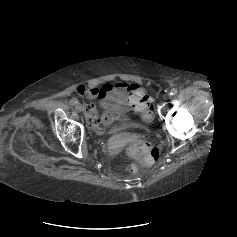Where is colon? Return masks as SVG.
Returning a JSON list of instances; mask_svg holds the SVG:
<instances>
[{
    "label": "colon",
    "mask_w": 237,
    "mask_h": 237,
    "mask_svg": "<svg viewBox=\"0 0 237 237\" xmlns=\"http://www.w3.org/2000/svg\"><path fill=\"white\" fill-rule=\"evenodd\" d=\"M152 118L151 108L148 107V112L144 116L146 121H150ZM128 155L135 160L137 164L151 165L157 161L159 157L158 149L145 140L134 139L130 141L127 148ZM132 171L136 169V165L130 167Z\"/></svg>",
    "instance_id": "obj_1"
}]
</instances>
